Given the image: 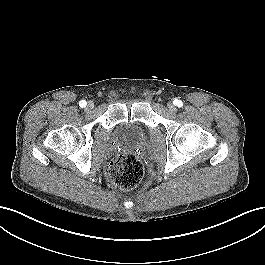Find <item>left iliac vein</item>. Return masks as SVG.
Returning a JSON list of instances; mask_svg holds the SVG:
<instances>
[{
	"mask_svg": "<svg viewBox=\"0 0 265 265\" xmlns=\"http://www.w3.org/2000/svg\"><path fill=\"white\" fill-rule=\"evenodd\" d=\"M168 107L171 111H175V106L172 103H169Z\"/></svg>",
	"mask_w": 265,
	"mask_h": 265,
	"instance_id": "left-iliac-vein-1",
	"label": "left iliac vein"
}]
</instances>
